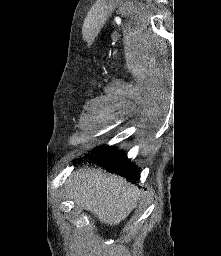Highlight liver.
<instances>
[{
    "label": "liver",
    "instance_id": "liver-1",
    "mask_svg": "<svg viewBox=\"0 0 221 256\" xmlns=\"http://www.w3.org/2000/svg\"><path fill=\"white\" fill-rule=\"evenodd\" d=\"M78 206L95 214L101 223L117 225L136 205L137 187L99 168L79 169L66 185Z\"/></svg>",
    "mask_w": 221,
    "mask_h": 256
}]
</instances>
